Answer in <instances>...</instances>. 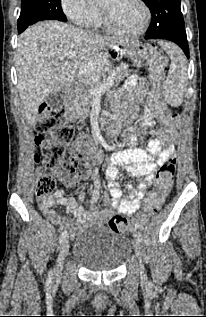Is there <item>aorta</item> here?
I'll use <instances>...</instances> for the list:
<instances>
[{"label":"aorta","instance_id":"762f6f07","mask_svg":"<svg viewBox=\"0 0 206 317\" xmlns=\"http://www.w3.org/2000/svg\"><path fill=\"white\" fill-rule=\"evenodd\" d=\"M89 3H92V2H94V1H96V0H87Z\"/></svg>","mask_w":206,"mask_h":317}]
</instances>
